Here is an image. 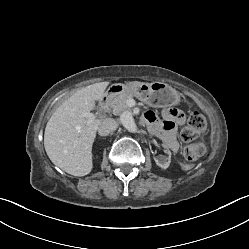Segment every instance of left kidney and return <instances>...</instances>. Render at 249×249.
Instances as JSON below:
<instances>
[{"label": "left kidney", "mask_w": 249, "mask_h": 249, "mask_svg": "<svg viewBox=\"0 0 249 249\" xmlns=\"http://www.w3.org/2000/svg\"><path fill=\"white\" fill-rule=\"evenodd\" d=\"M154 160L159 167L167 169L171 162V151L167 148H162Z\"/></svg>", "instance_id": "obj_1"}]
</instances>
